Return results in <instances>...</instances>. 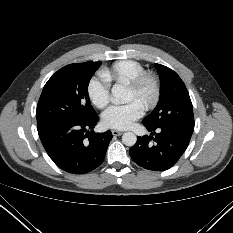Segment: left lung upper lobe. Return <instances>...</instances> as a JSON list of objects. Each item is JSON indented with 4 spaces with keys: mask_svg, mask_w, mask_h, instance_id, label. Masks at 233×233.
<instances>
[{
    "mask_svg": "<svg viewBox=\"0 0 233 233\" xmlns=\"http://www.w3.org/2000/svg\"><path fill=\"white\" fill-rule=\"evenodd\" d=\"M161 81L160 100L142 123L151 128L183 126L194 129L193 107L181 78L170 68L155 64Z\"/></svg>",
    "mask_w": 233,
    "mask_h": 233,
    "instance_id": "obj_1",
    "label": "left lung upper lobe"
}]
</instances>
